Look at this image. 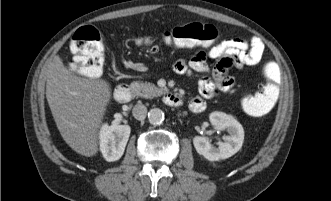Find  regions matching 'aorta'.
Masks as SVG:
<instances>
[{
	"instance_id": "1",
	"label": "aorta",
	"mask_w": 331,
	"mask_h": 201,
	"mask_svg": "<svg viewBox=\"0 0 331 201\" xmlns=\"http://www.w3.org/2000/svg\"><path fill=\"white\" fill-rule=\"evenodd\" d=\"M164 118V112L159 108H153L148 113L149 122L153 125L161 124Z\"/></svg>"
}]
</instances>
